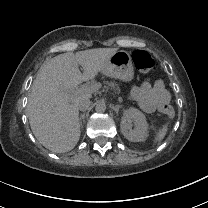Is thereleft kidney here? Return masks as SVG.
<instances>
[{
  "mask_svg": "<svg viewBox=\"0 0 208 208\" xmlns=\"http://www.w3.org/2000/svg\"><path fill=\"white\" fill-rule=\"evenodd\" d=\"M134 123V128L132 129ZM121 132L131 142L145 141L148 137V123L145 115L136 108L124 111L121 118Z\"/></svg>",
  "mask_w": 208,
  "mask_h": 208,
  "instance_id": "left-kidney-1",
  "label": "left kidney"
}]
</instances>
